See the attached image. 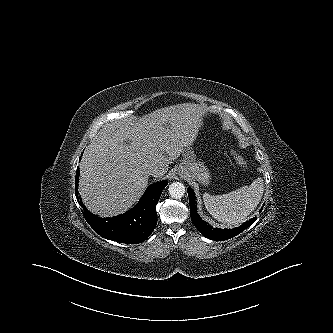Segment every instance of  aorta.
Instances as JSON below:
<instances>
[{
  "label": "aorta",
  "instance_id": "1",
  "mask_svg": "<svg viewBox=\"0 0 333 333\" xmlns=\"http://www.w3.org/2000/svg\"><path fill=\"white\" fill-rule=\"evenodd\" d=\"M169 194L172 198L179 199L185 194V186L181 182H173L169 186Z\"/></svg>",
  "mask_w": 333,
  "mask_h": 333
}]
</instances>
